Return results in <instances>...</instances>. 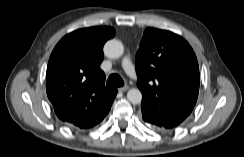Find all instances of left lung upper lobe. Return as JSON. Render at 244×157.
<instances>
[{"mask_svg":"<svg viewBox=\"0 0 244 157\" xmlns=\"http://www.w3.org/2000/svg\"><path fill=\"white\" fill-rule=\"evenodd\" d=\"M136 72L141 105L167 128L178 126L190 115L199 93V66L185 39L147 28L136 54Z\"/></svg>","mask_w":244,"mask_h":157,"instance_id":"obj_1","label":"left lung upper lobe"}]
</instances>
